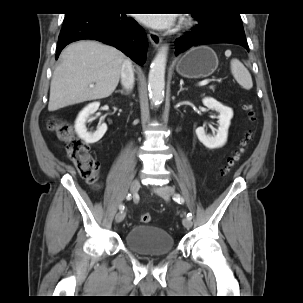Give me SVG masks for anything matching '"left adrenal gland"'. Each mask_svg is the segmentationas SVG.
I'll return each instance as SVG.
<instances>
[{"instance_id":"1","label":"left adrenal gland","mask_w":303,"mask_h":303,"mask_svg":"<svg viewBox=\"0 0 303 303\" xmlns=\"http://www.w3.org/2000/svg\"><path fill=\"white\" fill-rule=\"evenodd\" d=\"M179 87H180V89H179V91H178V94H179L181 91L185 90V88H183L182 84H180Z\"/></svg>"}]
</instances>
